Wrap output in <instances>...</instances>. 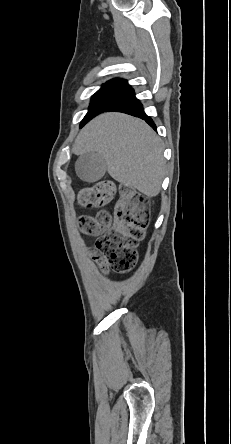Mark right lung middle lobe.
<instances>
[{"label": "right lung middle lobe", "mask_w": 231, "mask_h": 444, "mask_svg": "<svg viewBox=\"0 0 231 444\" xmlns=\"http://www.w3.org/2000/svg\"><path fill=\"white\" fill-rule=\"evenodd\" d=\"M129 93L126 90L111 86H103L91 99L89 111L84 117L81 127L93 117L115 105Z\"/></svg>", "instance_id": "obj_1"}]
</instances>
